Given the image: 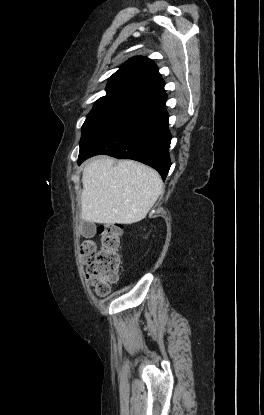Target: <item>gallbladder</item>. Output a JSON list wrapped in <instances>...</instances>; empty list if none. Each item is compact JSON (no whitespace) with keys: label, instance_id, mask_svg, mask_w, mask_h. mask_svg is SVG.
<instances>
[{"label":"gallbladder","instance_id":"1","mask_svg":"<svg viewBox=\"0 0 264 415\" xmlns=\"http://www.w3.org/2000/svg\"><path fill=\"white\" fill-rule=\"evenodd\" d=\"M83 236L85 237H91L93 235V224L89 222L83 223Z\"/></svg>","mask_w":264,"mask_h":415}]
</instances>
